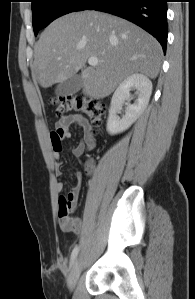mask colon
I'll use <instances>...</instances> for the list:
<instances>
[{
	"instance_id": "5ec220e1",
	"label": "colon",
	"mask_w": 195,
	"mask_h": 299,
	"mask_svg": "<svg viewBox=\"0 0 195 299\" xmlns=\"http://www.w3.org/2000/svg\"><path fill=\"white\" fill-rule=\"evenodd\" d=\"M58 116L74 112L86 115L95 125L102 121L106 107L103 103L88 98L83 93L61 95L51 100ZM72 212L70 200L66 197L60 200L59 216H68Z\"/></svg>"
}]
</instances>
